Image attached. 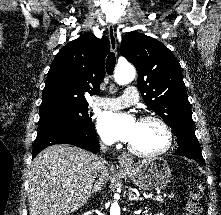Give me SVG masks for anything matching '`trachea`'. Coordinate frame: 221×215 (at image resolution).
<instances>
[{"label": "trachea", "mask_w": 221, "mask_h": 215, "mask_svg": "<svg viewBox=\"0 0 221 215\" xmlns=\"http://www.w3.org/2000/svg\"><path fill=\"white\" fill-rule=\"evenodd\" d=\"M115 64H116L115 54L111 52L106 59V71L109 75L113 74Z\"/></svg>", "instance_id": "trachea-1"}]
</instances>
